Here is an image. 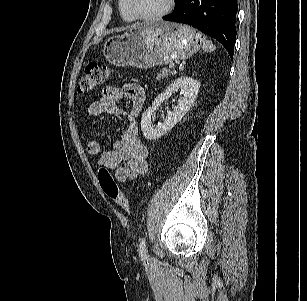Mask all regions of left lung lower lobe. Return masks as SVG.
Instances as JSON below:
<instances>
[{"instance_id": "0a47b994", "label": "left lung lower lobe", "mask_w": 307, "mask_h": 301, "mask_svg": "<svg viewBox=\"0 0 307 301\" xmlns=\"http://www.w3.org/2000/svg\"><path fill=\"white\" fill-rule=\"evenodd\" d=\"M237 0H179L175 11L163 19L191 25L218 40L234 54Z\"/></svg>"}]
</instances>
